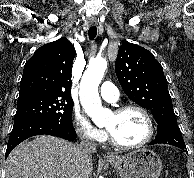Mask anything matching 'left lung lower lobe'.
Returning a JSON list of instances; mask_svg holds the SVG:
<instances>
[{"label":"left lung lower lobe","instance_id":"obj_1","mask_svg":"<svg viewBox=\"0 0 194 178\" xmlns=\"http://www.w3.org/2000/svg\"><path fill=\"white\" fill-rule=\"evenodd\" d=\"M159 143L176 146L187 153L176 118H169L158 123L157 135L155 139L149 143V145Z\"/></svg>","mask_w":194,"mask_h":178}]
</instances>
